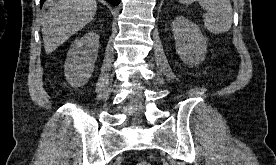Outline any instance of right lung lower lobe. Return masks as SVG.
Here are the masks:
<instances>
[{"label": "right lung lower lobe", "mask_w": 276, "mask_h": 165, "mask_svg": "<svg viewBox=\"0 0 276 165\" xmlns=\"http://www.w3.org/2000/svg\"><path fill=\"white\" fill-rule=\"evenodd\" d=\"M45 0H41V6L44 3ZM107 2H109L112 5H118L120 3V0H106Z\"/></svg>", "instance_id": "obj_1"}]
</instances>
